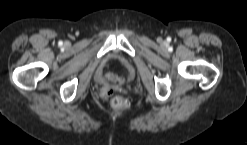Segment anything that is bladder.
Segmentation results:
<instances>
[{
	"label": "bladder",
	"mask_w": 247,
	"mask_h": 145,
	"mask_svg": "<svg viewBox=\"0 0 247 145\" xmlns=\"http://www.w3.org/2000/svg\"><path fill=\"white\" fill-rule=\"evenodd\" d=\"M98 82L101 83L102 82V77H98Z\"/></svg>",
	"instance_id": "obj_1"
}]
</instances>
